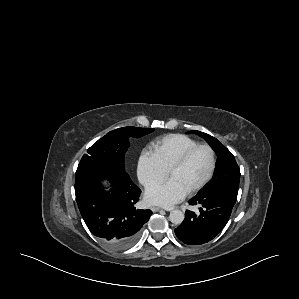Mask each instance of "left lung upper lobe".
<instances>
[{"label":"left lung upper lobe","mask_w":299,"mask_h":299,"mask_svg":"<svg viewBox=\"0 0 299 299\" xmlns=\"http://www.w3.org/2000/svg\"><path fill=\"white\" fill-rule=\"evenodd\" d=\"M202 136L217 154V164L213 179L200 191L199 194L208 192H225L237 199L240 169L232 153L216 138L200 131H190Z\"/></svg>","instance_id":"5c2ea615"}]
</instances>
